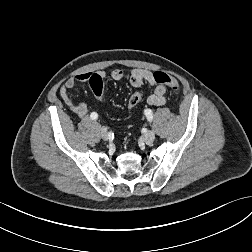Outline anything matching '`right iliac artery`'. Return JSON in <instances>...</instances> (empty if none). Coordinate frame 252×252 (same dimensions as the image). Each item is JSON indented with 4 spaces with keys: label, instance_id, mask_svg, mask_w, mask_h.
<instances>
[{
    "label": "right iliac artery",
    "instance_id": "82829eb1",
    "mask_svg": "<svg viewBox=\"0 0 252 252\" xmlns=\"http://www.w3.org/2000/svg\"><path fill=\"white\" fill-rule=\"evenodd\" d=\"M90 117L92 120H96L98 118V114L93 112V113H91Z\"/></svg>",
    "mask_w": 252,
    "mask_h": 252
}]
</instances>
